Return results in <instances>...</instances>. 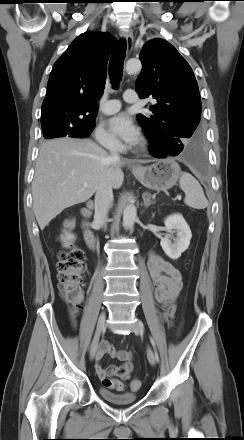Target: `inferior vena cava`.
Segmentation results:
<instances>
[{"instance_id":"1","label":"inferior vena cava","mask_w":244,"mask_h":440,"mask_svg":"<svg viewBox=\"0 0 244 440\" xmlns=\"http://www.w3.org/2000/svg\"><path fill=\"white\" fill-rule=\"evenodd\" d=\"M111 155L110 160H119V155L115 147L109 148ZM113 201L112 185L109 181L100 184L95 195V215L94 223L99 227L105 226L108 216L109 206Z\"/></svg>"}]
</instances>
